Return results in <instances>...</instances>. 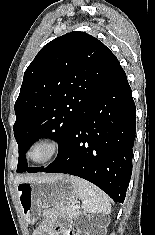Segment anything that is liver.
<instances>
[{"label": "liver", "instance_id": "liver-1", "mask_svg": "<svg viewBox=\"0 0 155 235\" xmlns=\"http://www.w3.org/2000/svg\"><path fill=\"white\" fill-rule=\"evenodd\" d=\"M45 178H49V177L48 176H42V175L18 176L15 179V185L17 186L19 183H22V182H30V181L43 180Z\"/></svg>", "mask_w": 155, "mask_h": 235}]
</instances>
